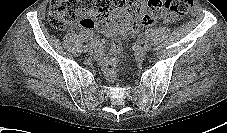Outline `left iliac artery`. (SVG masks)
<instances>
[{
    "instance_id": "44dca946",
    "label": "left iliac artery",
    "mask_w": 227,
    "mask_h": 133,
    "mask_svg": "<svg viewBox=\"0 0 227 133\" xmlns=\"http://www.w3.org/2000/svg\"><path fill=\"white\" fill-rule=\"evenodd\" d=\"M144 48H145L147 51H149V50L151 49V46H150V44L145 43Z\"/></svg>"
}]
</instances>
